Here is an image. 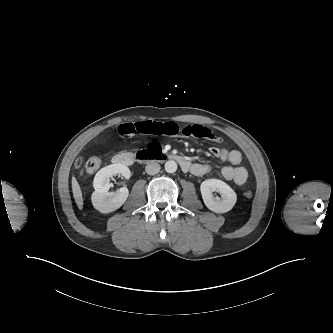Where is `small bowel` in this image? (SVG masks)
Segmentation results:
<instances>
[{
	"mask_svg": "<svg viewBox=\"0 0 333 333\" xmlns=\"http://www.w3.org/2000/svg\"><path fill=\"white\" fill-rule=\"evenodd\" d=\"M118 135L123 139H131L137 135L153 134L166 136H181L190 140L207 139L213 142H220V137L212 130L197 124L180 126L175 122H153L143 121L136 123L122 124L117 128ZM210 153L221 161H228L231 165L224 166L221 170L222 177L227 181H233L242 185L248 178V171L241 166L242 156L237 150L211 147ZM210 166L206 164H193L191 173L195 176H203L210 172Z\"/></svg>",
	"mask_w": 333,
	"mask_h": 333,
	"instance_id": "1",
	"label": "small bowel"
}]
</instances>
